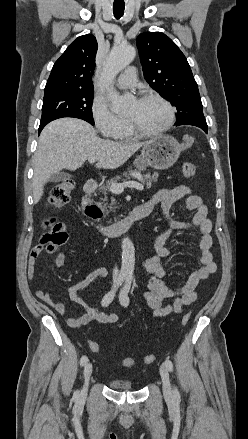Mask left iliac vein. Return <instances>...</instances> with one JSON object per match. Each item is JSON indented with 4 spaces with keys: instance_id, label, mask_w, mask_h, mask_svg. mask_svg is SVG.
<instances>
[{
    "instance_id": "left-iliac-vein-1",
    "label": "left iliac vein",
    "mask_w": 248,
    "mask_h": 439,
    "mask_svg": "<svg viewBox=\"0 0 248 439\" xmlns=\"http://www.w3.org/2000/svg\"><path fill=\"white\" fill-rule=\"evenodd\" d=\"M160 376L162 380L163 393L166 399L173 397V391L170 383L169 373L164 365L160 366Z\"/></svg>"
}]
</instances>
